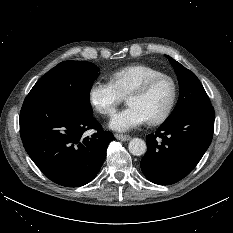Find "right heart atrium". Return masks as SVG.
I'll return each instance as SVG.
<instances>
[{
	"label": "right heart atrium",
	"mask_w": 233,
	"mask_h": 233,
	"mask_svg": "<svg viewBox=\"0 0 233 233\" xmlns=\"http://www.w3.org/2000/svg\"><path fill=\"white\" fill-rule=\"evenodd\" d=\"M88 95L93 108L104 116L112 115L124 99L111 81L99 79L93 81Z\"/></svg>",
	"instance_id": "obj_1"
}]
</instances>
